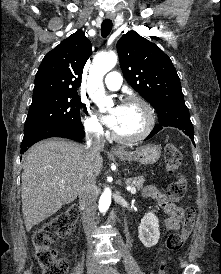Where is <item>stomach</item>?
Listing matches in <instances>:
<instances>
[{
	"instance_id": "stomach-1",
	"label": "stomach",
	"mask_w": 221,
	"mask_h": 274,
	"mask_svg": "<svg viewBox=\"0 0 221 274\" xmlns=\"http://www.w3.org/2000/svg\"><path fill=\"white\" fill-rule=\"evenodd\" d=\"M161 155V148L155 144H146L137 148L134 152L122 151L116 156L123 161H137L143 165L154 164Z\"/></svg>"
}]
</instances>
